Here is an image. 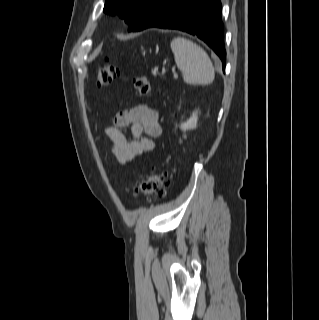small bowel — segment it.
<instances>
[{"label": "small bowel", "mask_w": 319, "mask_h": 320, "mask_svg": "<svg viewBox=\"0 0 319 320\" xmlns=\"http://www.w3.org/2000/svg\"><path fill=\"white\" fill-rule=\"evenodd\" d=\"M155 109L140 104L118 112L113 124L106 130L110 149L120 164L130 162L136 156L153 149L154 139L161 134V126ZM130 129L131 137L124 130Z\"/></svg>", "instance_id": "small-bowel-1"}]
</instances>
